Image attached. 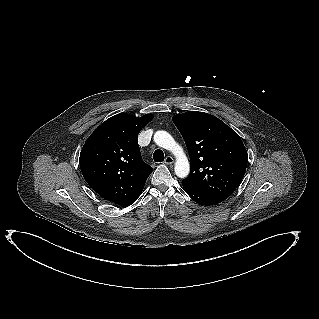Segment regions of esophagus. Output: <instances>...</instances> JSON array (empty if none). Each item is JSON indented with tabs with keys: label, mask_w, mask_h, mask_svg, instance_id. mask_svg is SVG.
I'll return each mask as SVG.
<instances>
[{
	"label": "esophagus",
	"mask_w": 319,
	"mask_h": 319,
	"mask_svg": "<svg viewBox=\"0 0 319 319\" xmlns=\"http://www.w3.org/2000/svg\"><path fill=\"white\" fill-rule=\"evenodd\" d=\"M164 163L167 165H172L174 163V159L171 156H167L164 160Z\"/></svg>",
	"instance_id": "obj_1"
}]
</instances>
